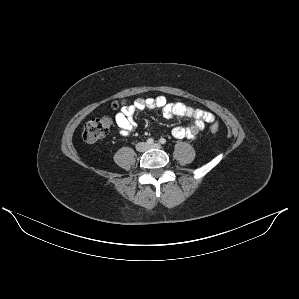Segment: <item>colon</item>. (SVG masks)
<instances>
[{"instance_id": "obj_1", "label": "colon", "mask_w": 299, "mask_h": 299, "mask_svg": "<svg viewBox=\"0 0 299 299\" xmlns=\"http://www.w3.org/2000/svg\"><path fill=\"white\" fill-rule=\"evenodd\" d=\"M123 102H115L112 104L113 109H118ZM111 119L103 116L89 120L83 130V139L87 142H95L101 140L107 136L111 127ZM219 126L217 123H212L211 131L213 133L218 132Z\"/></svg>"}]
</instances>
